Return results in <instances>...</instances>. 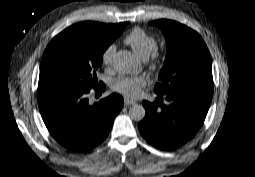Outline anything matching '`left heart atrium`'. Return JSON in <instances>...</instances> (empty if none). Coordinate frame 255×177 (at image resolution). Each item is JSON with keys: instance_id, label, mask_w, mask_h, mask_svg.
Segmentation results:
<instances>
[{"instance_id": "left-heart-atrium-1", "label": "left heart atrium", "mask_w": 255, "mask_h": 177, "mask_svg": "<svg viewBox=\"0 0 255 177\" xmlns=\"http://www.w3.org/2000/svg\"><path fill=\"white\" fill-rule=\"evenodd\" d=\"M145 85L142 77L119 76L111 82L113 91L127 97H136L141 92V87Z\"/></svg>"}]
</instances>
